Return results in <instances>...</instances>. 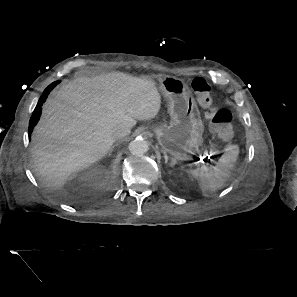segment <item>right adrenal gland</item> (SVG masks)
<instances>
[{"mask_svg": "<svg viewBox=\"0 0 297 297\" xmlns=\"http://www.w3.org/2000/svg\"><path fill=\"white\" fill-rule=\"evenodd\" d=\"M115 146H116V145H113V146L110 148V150H109V155H111V153H112V151H113V149H114Z\"/></svg>", "mask_w": 297, "mask_h": 297, "instance_id": "2a0ac1e0", "label": "right adrenal gland"}]
</instances>
